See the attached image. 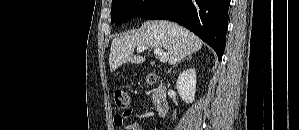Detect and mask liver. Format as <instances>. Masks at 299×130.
Instances as JSON below:
<instances>
[{
	"instance_id": "liver-1",
	"label": "liver",
	"mask_w": 299,
	"mask_h": 130,
	"mask_svg": "<svg viewBox=\"0 0 299 130\" xmlns=\"http://www.w3.org/2000/svg\"><path fill=\"white\" fill-rule=\"evenodd\" d=\"M203 42L186 28L168 21H147L133 34L126 33L114 38L111 43L109 65L114 72L127 62L139 64L143 56H134V48L146 46L164 48L169 54V64L174 65L184 57L199 51Z\"/></svg>"
}]
</instances>
